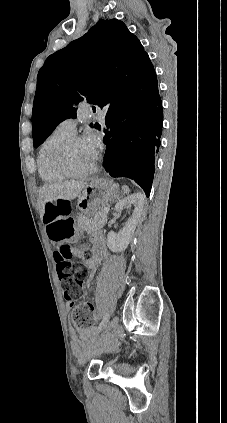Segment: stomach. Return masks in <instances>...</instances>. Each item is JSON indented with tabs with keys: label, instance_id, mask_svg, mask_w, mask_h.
<instances>
[{
	"label": "stomach",
	"instance_id": "1",
	"mask_svg": "<svg viewBox=\"0 0 227 423\" xmlns=\"http://www.w3.org/2000/svg\"><path fill=\"white\" fill-rule=\"evenodd\" d=\"M118 194V186L112 180H91L78 196L77 208L86 215H92L102 204L113 202Z\"/></svg>",
	"mask_w": 227,
	"mask_h": 423
}]
</instances>
